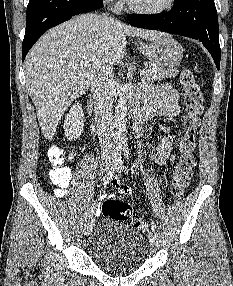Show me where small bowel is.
Returning <instances> with one entry per match:
<instances>
[{"label":"small bowel","instance_id":"1","mask_svg":"<svg viewBox=\"0 0 233 286\" xmlns=\"http://www.w3.org/2000/svg\"><path fill=\"white\" fill-rule=\"evenodd\" d=\"M142 100V111L146 116V120L162 115L175 119L180 113L178 93L169 84H162L159 87L146 85L144 87V93L142 94ZM174 140L175 137L167 136L161 140L155 151L150 152L149 157L153 164L150 170L174 161ZM65 168L69 170L68 167ZM111 184L120 194L132 193L130 186L120 182L117 178H113ZM105 197L103 194L99 195L98 200H102Z\"/></svg>","mask_w":233,"mask_h":286}]
</instances>
